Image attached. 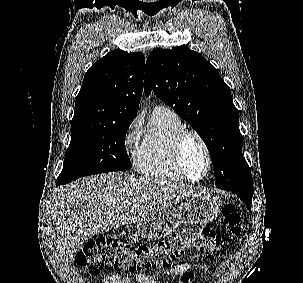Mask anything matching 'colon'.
<instances>
[{
	"mask_svg": "<svg viewBox=\"0 0 303 283\" xmlns=\"http://www.w3.org/2000/svg\"><path fill=\"white\" fill-rule=\"evenodd\" d=\"M224 220L233 235L246 228V215L233 204L222 210ZM220 232L211 227L188 228L172 237L153 243H129L117 239L100 238L87 243L75 256L80 268H87L91 275L102 271L142 272L164 268L189 251L213 255L221 247ZM191 271L181 274V283H190Z\"/></svg>",
	"mask_w": 303,
	"mask_h": 283,
	"instance_id": "colon-1",
	"label": "colon"
}]
</instances>
